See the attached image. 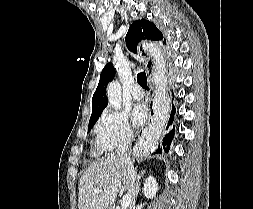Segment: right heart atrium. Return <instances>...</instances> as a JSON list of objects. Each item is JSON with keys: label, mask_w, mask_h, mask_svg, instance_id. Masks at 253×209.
<instances>
[{"label": "right heart atrium", "mask_w": 253, "mask_h": 209, "mask_svg": "<svg viewBox=\"0 0 253 209\" xmlns=\"http://www.w3.org/2000/svg\"><path fill=\"white\" fill-rule=\"evenodd\" d=\"M133 130L123 112L105 110L95 126V141L99 148L111 151L121 144H128Z\"/></svg>", "instance_id": "obj_1"}]
</instances>
